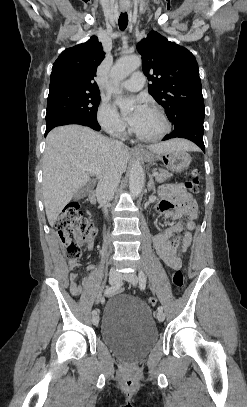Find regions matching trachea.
Instances as JSON below:
<instances>
[{
    "label": "trachea",
    "mask_w": 247,
    "mask_h": 407,
    "mask_svg": "<svg viewBox=\"0 0 247 407\" xmlns=\"http://www.w3.org/2000/svg\"><path fill=\"white\" fill-rule=\"evenodd\" d=\"M118 24H119L120 30L126 29L127 24H128V15L126 12L120 14Z\"/></svg>",
    "instance_id": "trachea-1"
}]
</instances>
